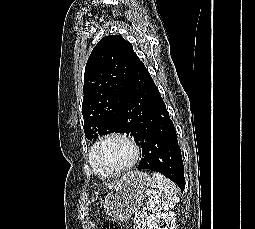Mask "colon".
<instances>
[{
  "instance_id": "obj_1",
  "label": "colon",
  "mask_w": 255,
  "mask_h": 229,
  "mask_svg": "<svg viewBox=\"0 0 255 229\" xmlns=\"http://www.w3.org/2000/svg\"><path fill=\"white\" fill-rule=\"evenodd\" d=\"M102 229H120V227L116 221L106 220L102 225Z\"/></svg>"
}]
</instances>
